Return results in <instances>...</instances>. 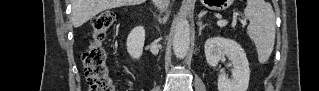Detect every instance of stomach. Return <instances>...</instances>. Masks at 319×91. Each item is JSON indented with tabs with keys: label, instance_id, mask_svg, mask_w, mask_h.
Masks as SVG:
<instances>
[{
	"label": "stomach",
	"instance_id": "obj_1",
	"mask_svg": "<svg viewBox=\"0 0 319 91\" xmlns=\"http://www.w3.org/2000/svg\"><path fill=\"white\" fill-rule=\"evenodd\" d=\"M204 2L206 6L210 5L212 9H217V10L224 9L227 6V1H223V0L211 1V2L204 1Z\"/></svg>",
	"mask_w": 319,
	"mask_h": 91
}]
</instances>
